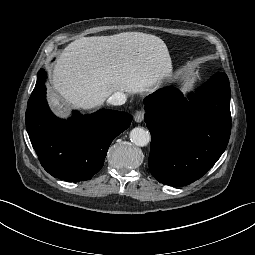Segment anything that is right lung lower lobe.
<instances>
[{
  "label": "right lung lower lobe",
  "instance_id": "1",
  "mask_svg": "<svg viewBox=\"0 0 255 255\" xmlns=\"http://www.w3.org/2000/svg\"><path fill=\"white\" fill-rule=\"evenodd\" d=\"M46 73L38 72L28 100L26 129L41 165L52 176L67 182L86 181L100 171L111 142L132 121L126 112L101 109L62 120L50 111L45 98Z\"/></svg>",
  "mask_w": 255,
  "mask_h": 255
}]
</instances>
